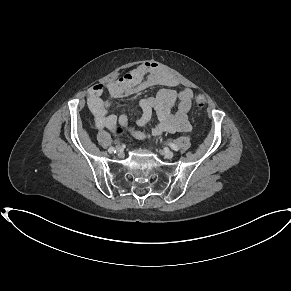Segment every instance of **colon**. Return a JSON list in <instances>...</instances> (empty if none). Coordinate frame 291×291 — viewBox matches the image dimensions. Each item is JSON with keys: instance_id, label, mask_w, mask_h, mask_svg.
<instances>
[{"instance_id": "obj_1", "label": "colon", "mask_w": 291, "mask_h": 291, "mask_svg": "<svg viewBox=\"0 0 291 291\" xmlns=\"http://www.w3.org/2000/svg\"><path fill=\"white\" fill-rule=\"evenodd\" d=\"M193 102H194V105L198 109H202L206 105V100H205L204 96L201 95V94H195V95H193ZM124 130H127V129L124 128V127L123 128L122 127H116L115 128V132L116 133H121Z\"/></svg>"}]
</instances>
